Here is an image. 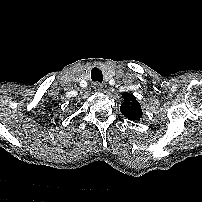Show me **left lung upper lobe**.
Segmentation results:
<instances>
[{
    "label": "left lung upper lobe",
    "mask_w": 202,
    "mask_h": 202,
    "mask_svg": "<svg viewBox=\"0 0 202 202\" xmlns=\"http://www.w3.org/2000/svg\"><path fill=\"white\" fill-rule=\"evenodd\" d=\"M123 98L124 102L120 107L121 113L130 120H139L142 117V110L135 96L125 92Z\"/></svg>",
    "instance_id": "5c2ea615"
}]
</instances>
